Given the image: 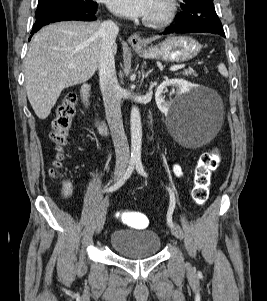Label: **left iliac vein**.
<instances>
[{
  "label": "left iliac vein",
  "instance_id": "obj_1",
  "mask_svg": "<svg viewBox=\"0 0 267 301\" xmlns=\"http://www.w3.org/2000/svg\"><path fill=\"white\" fill-rule=\"evenodd\" d=\"M170 229H171L172 234H173L176 238H178V239H183V232H182L181 228H180L178 225H176V224L173 223V224L170 226ZM188 268L191 270V266H190V265L188 266Z\"/></svg>",
  "mask_w": 267,
  "mask_h": 301
}]
</instances>
